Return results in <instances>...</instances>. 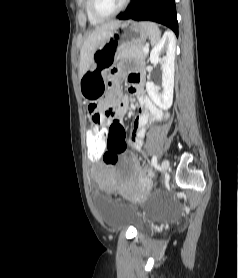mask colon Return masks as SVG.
Returning <instances> with one entry per match:
<instances>
[{
	"mask_svg": "<svg viewBox=\"0 0 238 278\" xmlns=\"http://www.w3.org/2000/svg\"><path fill=\"white\" fill-rule=\"evenodd\" d=\"M112 127H118L113 125ZM93 129L97 128L96 124L92 125ZM86 134L89 137L85 138L88 142V161L98 162L102 158L107 165H115L118 161L119 155L126 149L124 137H108L99 130H87ZM97 135V137H95Z\"/></svg>",
	"mask_w": 238,
	"mask_h": 278,
	"instance_id": "1",
	"label": "colon"
}]
</instances>
